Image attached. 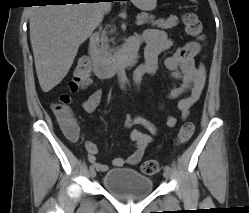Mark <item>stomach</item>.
<instances>
[{"label": "stomach", "mask_w": 249, "mask_h": 213, "mask_svg": "<svg viewBox=\"0 0 249 213\" xmlns=\"http://www.w3.org/2000/svg\"><path fill=\"white\" fill-rule=\"evenodd\" d=\"M136 7L143 11H151L155 9L157 0H131Z\"/></svg>", "instance_id": "0dacf381"}]
</instances>
